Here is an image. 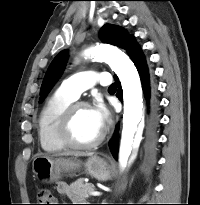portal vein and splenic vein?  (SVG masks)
Instances as JSON below:
<instances>
[{"label":"portal vein and splenic vein","mask_w":200,"mask_h":205,"mask_svg":"<svg viewBox=\"0 0 200 205\" xmlns=\"http://www.w3.org/2000/svg\"><path fill=\"white\" fill-rule=\"evenodd\" d=\"M90 195H92V196H100L101 192H99V191H92V192H90Z\"/></svg>","instance_id":"portal-vein-and-splenic-vein-1"}]
</instances>
